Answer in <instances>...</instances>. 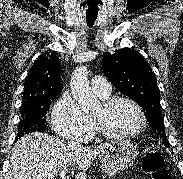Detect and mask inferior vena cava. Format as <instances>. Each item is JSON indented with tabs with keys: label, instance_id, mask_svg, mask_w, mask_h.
Instances as JSON below:
<instances>
[{
	"label": "inferior vena cava",
	"instance_id": "obj_1",
	"mask_svg": "<svg viewBox=\"0 0 183 179\" xmlns=\"http://www.w3.org/2000/svg\"><path fill=\"white\" fill-rule=\"evenodd\" d=\"M68 145L72 148V149H75V148H78L80 147L81 145L75 141H68Z\"/></svg>",
	"mask_w": 183,
	"mask_h": 179
}]
</instances>
